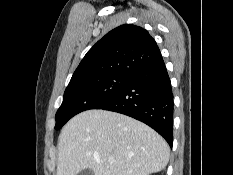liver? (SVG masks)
<instances>
[{"label":"liver","mask_w":233,"mask_h":175,"mask_svg":"<svg viewBox=\"0 0 233 175\" xmlns=\"http://www.w3.org/2000/svg\"><path fill=\"white\" fill-rule=\"evenodd\" d=\"M169 154L167 142L146 124L116 112L87 110L59 135L56 175L87 168L94 175H148L163 170Z\"/></svg>","instance_id":"obj_1"}]
</instances>
